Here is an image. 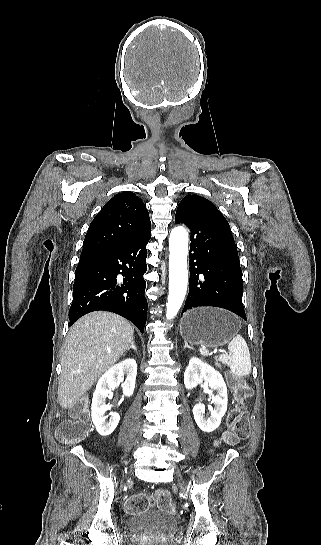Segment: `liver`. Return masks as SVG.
Returning a JSON list of instances; mask_svg holds the SVG:
<instances>
[{
	"mask_svg": "<svg viewBox=\"0 0 321 545\" xmlns=\"http://www.w3.org/2000/svg\"><path fill=\"white\" fill-rule=\"evenodd\" d=\"M134 331L114 313H89L71 327L61 359L58 401L72 409L97 379L129 349Z\"/></svg>",
	"mask_w": 321,
	"mask_h": 545,
	"instance_id": "liver-1",
	"label": "liver"
}]
</instances>
